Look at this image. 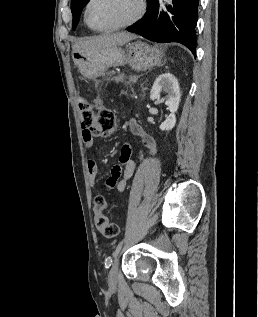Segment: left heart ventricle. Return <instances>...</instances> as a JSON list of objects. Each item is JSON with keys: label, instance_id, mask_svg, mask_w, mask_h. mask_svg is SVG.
<instances>
[{"label": "left heart ventricle", "instance_id": "left-heart-ventricle-1", "mask_svg": "<svg viewBox=\"0 0 258 317\" xmlns=\"http://www.w3.org/2000/svg\"><path fill=\"white\" fill-rule=\"evenodd\" d=\"M137 9V4L131 0H94L88 18L95 27L108 28L126 23Z\"/></svg>", "mask_w": 258, "mask_h": 317}]
</instances>
